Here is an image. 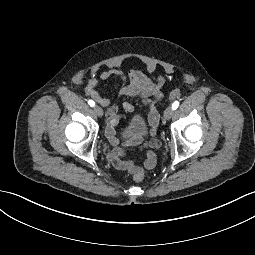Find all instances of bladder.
Returning a JSON list of instances; mask_svg holds the SVG:
<instances>
[{"instance_id":"bladder-1","label":"bladder","mask_w":255,"mask_h":255,"mask_svg":"<svg viewBox=\"0 0 255 255\" xmlns=\"http://www.w3.org/2000/svg\"><path fill=\"white\" fill-rule=\"evenodd\" d=\"M148 131L149 127L146 119L142 115L136 114L123 129L122 134L125 137H144L147 135Z\"/></svg>"}]
</instances>
